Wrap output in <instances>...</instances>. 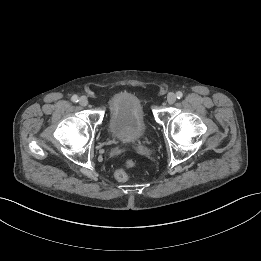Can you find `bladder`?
<instances>
[{"mask_svg": "<svg viewBox=\"0 0 261 261\" xmlns=\"http://www.w3.org/2000/svg\"><path fill=\"white\" fill-rule=\"evenodd\" d=\"M108 129L111 136L121 142H135L145 135L147 124L143 105L138 96L124 91L112 98Z\"/></svg>", "mask_w": 261, "mask_h": 261, "instance_id": "31cf9c89", "label": "bladder"}]
</instances>
